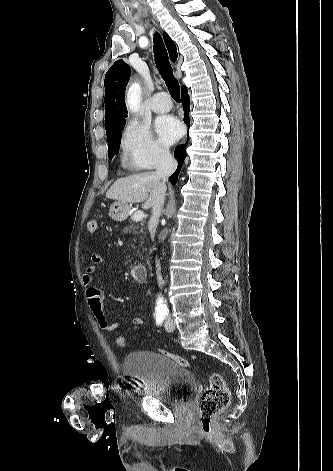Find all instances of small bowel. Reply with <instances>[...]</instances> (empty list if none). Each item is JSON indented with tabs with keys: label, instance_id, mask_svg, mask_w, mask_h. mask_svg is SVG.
Masks as SVG:
<instances>
[{
	"label": "small bowel",
	"instance_id": "c3829d8e",
	"mask_svg": "<svg viewBox=\"0 0 333 471\" xmlns=\"http://www.w3.org/2000/svg\"><path fill=\"white\" fill-rule=\"evenodd\" d=\"M102 262L103 258L99 254H91L89 263L85 267L82 275V282L85 288L88 307L98 326L102 331L112 333L119 327V323H111L108 321L103 308V292L93 284L96 267ZM132 323L136 326L142 325L143 319L136 316L132 319Z\"/></svg>",
	"mask_w": 333,
	"mask_h": 471
}]
</instances>
